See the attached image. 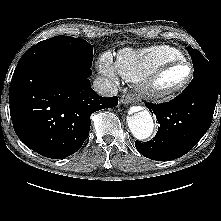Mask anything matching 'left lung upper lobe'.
Listing matches in <instances>:
<instances>
[{
  "label": "left lung upper lobe",
  "instance_id": "1",
  "mask_svg": "<svg viewBox=\"0 0 221 221\" xmlns=\"http://www.w3.org/2000/svg\"><path fill=\"white\" fill-rule=\"evenodd\" d=\"M188 52L192 57L194 66V76L214 71L213 66L206 58L196 49L188 47Z\"/></svg>",
  "mask_w": 221,
  "mask_h": 221
}]
</instances>
